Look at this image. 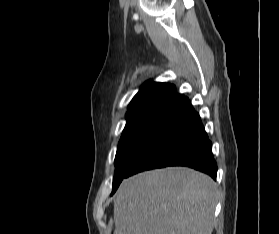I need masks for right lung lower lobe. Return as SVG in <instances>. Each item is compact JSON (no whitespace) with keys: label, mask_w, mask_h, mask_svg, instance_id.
<instances>
[{"label":"right lung lower lobe","mask_w":279,"mask_h":234,"mask_svg":"<svg viewBox=\"0 0 279 234\" xmlns=\"http://www.w3.org/2000/svg\"><path fill=\"white\" fill-rule=\"evenodd\" d=\"M168 166L191 167L216 179L212 143L187 97L158 124L132 159L124 178Z\"/></svg>","instance_id":"98d812e1"}]
</instances>
